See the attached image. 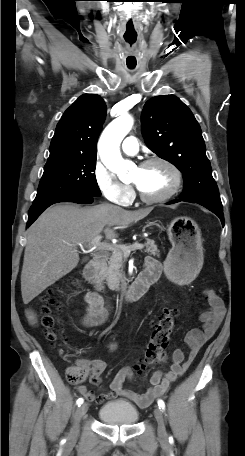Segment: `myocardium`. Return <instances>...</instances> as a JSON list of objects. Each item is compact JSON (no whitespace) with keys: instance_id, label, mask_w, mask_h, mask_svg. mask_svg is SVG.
<instances>
[{"instance_id":"f54148a6","label":"myocardium","mask_w":245,"mask_h":456,"mask_svg":"<svg viewBox=\"0 0 245 456\" xmlns=\"http://www.w3.org/2000/svg\"><path fill=\"white\" fill-rule=\"evenodd\" d=\"M155 163L163 164L171 170V172L173 173V176H174V183H173L172 187L166 193H164L160 196H155V197L145 195L134 184L138 197L143 202L150 203V204L165 202V201L171 199L172 197H174L179 192L181 185H182V180H183L181 170L172 161H170L166 158H163V157L156 156V157H151L146 160H143L139 164V167L144 168V167H147V166L155 164Z\"/></svg>"}]
</instances>
